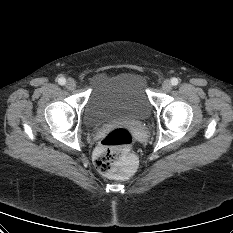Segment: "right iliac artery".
I'll return each instance as SVG.
<instances>
[{"mask_svg":"<svg viewBox=\"0 0 233 233\" xmlns=\"http://www.w3.org/2000/svg\"><path fill=\"white\" fill-rule=\"evenodd\" d=\"M58 83H59L60 85H64V84L66 83V79H65L64 77H60V78L58 79Z\"/></svg>","mask_w":233,"mask_h":233,"instance_id":"82829eb1","label":"right iliac artery"}]
</instances>
